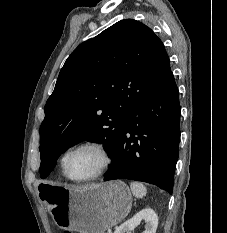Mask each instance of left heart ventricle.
I'll return each instance as SVG.
<instances>
[{
	"mask_svg": "<svg viewBox=\"0 0 227 233\" xmlns=\"http://www.w3.org/2000/svg\"><path fill=\"white\" fill-rule=\"evenodd\" d=\"M102 165L100 153L91 148H84L75 152L69 159L70 175L75 179H82L93 175Z\"/></svg>",
	"mask_w": 227,
	"mask_h": 233,
	"instance_id": "1",
	"label": "left heart ventricle"
}]
</instances>
